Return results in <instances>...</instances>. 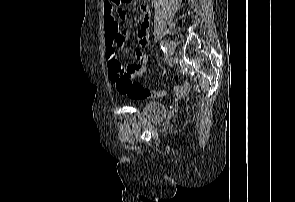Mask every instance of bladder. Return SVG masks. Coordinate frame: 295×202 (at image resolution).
Wrapping results in <instances>:
<instances>
[{
    "label": "bladder",
    "mask_w": 295,
    "mask_h": 202,
    "mask_svg": "<svg viewBox=\"0 0 295 202\" xmlns=\"http://www.w3.org/2000/svg\"><path fill=\"white\" fill-rule=\"evenodd\" d=\"M142 114L149 121H162L167 116V109L161 102L147 101L142 107Z\"/></svg>",
    "instance_id": "1"
}]
</instances>
